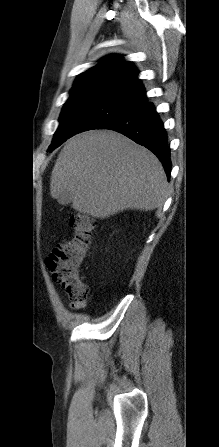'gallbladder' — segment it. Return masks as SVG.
<instances>
[{
	"label": "gallbladder",
	"instance_id": "gallbladder-1",
	"mask_svg": "<svg viewBox=\"0 0 219 447\" xmlns=\"http://www.w3.org/2000/svg\"><path fill=\"white\" fill-rule=\"evenodd\" d=\"M58 202H59L61 205H68V204L71 203V201H70L69 198H65V199H63V198H59Z\"/></svg>",
	"mask_w": 219,
	"mask_h": 447
}]
</instances>
